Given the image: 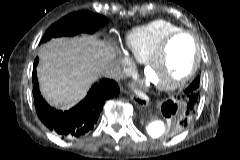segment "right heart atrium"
Returning a JSON list of instances; mask_svg holds the SVG:
<instances>
[{"mask_svg":"<svg viewBox=\"0 0 240 160\" xmlns=\"http://www.w3.org/2000/svg\"><path fill=\"white\" fill-rule=\"evenodd\" d=\"M132 65L133 64H132L130 57L128 55H126L125 53H121L120 57L118 59V62H117V67H116L115 73L117 74L121 68H123V69L129 68Z\"/></svg>","mask_w":240,"mask_h":160,"instance_id":"d8ad5b80","label":"right heart atrium"}]
</instances>
